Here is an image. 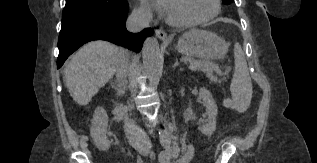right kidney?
<instances>
[{"label":"right kidney","mask_w":317,"mask_h":163,"mask_svg":"<svg viewBox=\"0 0 317 163\" xmlns=\"http://www.w3.org/2000/svg\"><path fill=\"white\" fill-rule=\"evenodd\" d=\"M91 123L92 125L90 128V135L94 141L95 146L101 151L108 150L110 147V141L106 136L108 115L104 108H96Z\"/></svg>","instance_id":"right-kidney-1"}]
</instances>
